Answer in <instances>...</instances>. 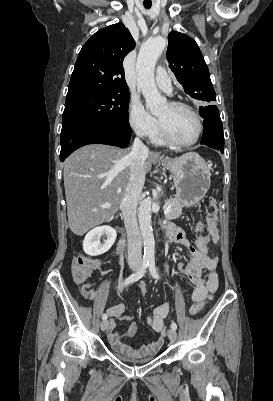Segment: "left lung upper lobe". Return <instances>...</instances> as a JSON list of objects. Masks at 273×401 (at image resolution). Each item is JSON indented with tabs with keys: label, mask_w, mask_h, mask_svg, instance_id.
<instances>
[{
	"label": "left lung upper lobe",
	"mask_w": 273,
	"mask_h": 401,
	"mask_svg": "<svg viewBox=\"0 0 273 401\" xmlns=\"http://www.w3.org/2000/svg\"><path fill=\"white\" fill-rule=\"evenodd\" d=\"M166 59L186 94L201 101H216L208 67L191 37L176 31L170 32Z\"/></svg>",
	"instance_id": "obj_1"
}]
</instances>
